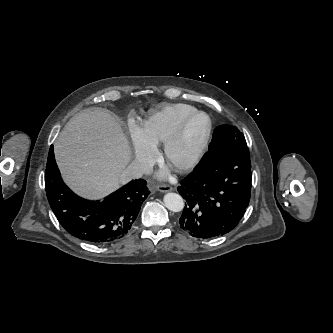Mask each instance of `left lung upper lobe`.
<instances>
[{"instance_id": "obj_1", "label": "left lung upper lobe", "mask_w": 333, "mask_h": 333, "mask_svg": "<svg viewBox=\"0 0 333 333\" xmlns=\"http://www.w3.org/2000/svg\"><path fill=\"white\" fill-rule=\"evenodd\" d=\"M241 146H247L246 140L241 135H235L233 137H230L226 139L223 143L220 144L217 150L215 152L223 154V155H230L232 154L237 148Z\"/></svg>"}]
</instances>
